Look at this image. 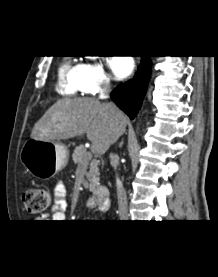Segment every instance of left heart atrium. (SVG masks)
<instances>
[{"label": "left heart atrium", "instance_id": "39dd6f15", "mask_svg": "<svg viewBox=\"0 0 218 277\" xmlns=\"http://www.w3.org/2000/svg\"><path fill=\"white\" fill-rule=\"evenodd\" d=\"M109 66L114 76L118 79L125 77L132 68V61L125 57H111Z\"/></svg>", "mask_w": 218, "mask_h": 277}]
</instances>
